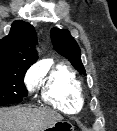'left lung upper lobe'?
I'll use <instances>...</instances> for the list:
<instances>
[{
    "label": "left lung upper lobe",
    "instance_id": "5c2ea615",
    "mask_svg": "<svg viewBox=\"0 0 117 131\" xmlns=\"http://www.w3.org/2000/svg\"><path fill=\"white\" fill-rule=\"evenodd\" d=\"M54 49L62 56L70 60L73 67L81 74L86 75L81 62V51L70 32L65 29L53 28L50 32Z\"/></svg>",
    "mask_w": 117,
    "mask_h": 131
}]
</instances>
